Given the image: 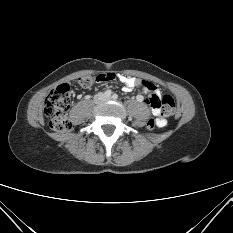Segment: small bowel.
<instances>
[{
  "mask_svg": "<svg viewBox=\"0 0 233 233\" xmlns=\"http://www.w3.org/2000/svg\"><path fill=\"white\" fill-rule=\"evenodd\" d=\"M96 80L97 81H101V82H113V81H120L121 83H123V90L125 92H129L131 91L134 87L136 86H140L142 87L143 91L146 94H149L150 97L146 100V103L150 105L149 103V99L155 95L157 97L161 96L160 91L155 87V89L153 91L149 90L146 86H144V83L147 82L145 80L142 79H137V78H133V77H127V76H123L122 74H114V73H99L96 75ZM69 86H79V81L78 80H72L69 81ZM137 101L142 102L144 101V97L143 95L139 94L137 95ZM151 106V105H150ZM152 107V113L155 116V121H156V126L157 127H164L167 124V120L166 118L163 116V114L161 113L160 108L158 107Z\"/></svg>",
  "mask_w": 233,
  "mask_h": 233,
  "instance_id": "obj_1",
  "label": "small bowel"
}]
</instances>
